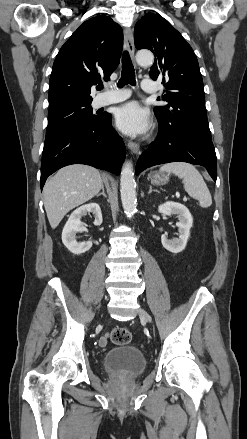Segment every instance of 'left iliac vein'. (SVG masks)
<instances>
[{"label":"left iliac vein","instance_id":"left-iliac-vein-1","mask_svg":"<svg viewBox=\"0 0 247 439\" xmlns=\"http://www.w3.org/2000/svg\"><path fill=\"white\" fill-rule=\"evenodd\" d=\"M139 316L141 319H143L149 323L152 321L151 316L144 309H140Z\"/></svg>","mask_w":247,"mask_h":439}]
</instances>
